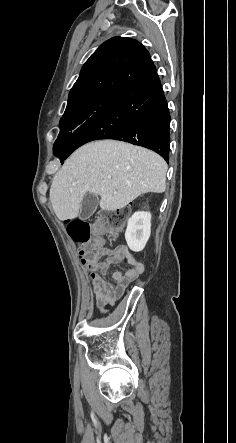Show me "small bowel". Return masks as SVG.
Listing matches in <instances>:
<instances>
[{"mask_svg": "<svg viewBox=\"0 0 236 443\" xmlns=\"http://www.w3.org/2000/svg\"><path fill=\"white\" fill-rule=\"evenodd\" d=\"M101 257H105L101 259ZM125 261L129 268L125 272L115 271L112 275L115 285L108 283L104 276L110 265ZM89 269V281L92 285L94 299L100 308L112 306L120 299L143 272L142 262L136 258L125 246L113 249L101 248L100 256L90 262H83Z\"/></svg>", "mask_w": 236, "mask_h": 443, "instance_id": "obj_1", "label": "small bowel"}]
</instances>
